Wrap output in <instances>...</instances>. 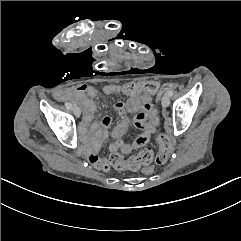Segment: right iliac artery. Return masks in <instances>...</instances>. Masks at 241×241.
<instances>
[{
    "instance_id": "obj_1",
    "label": "right iliac artery",
    "mask_w": 241,
    "mask_h": 241,
    "mask_svg": "<svg viewBox=\"0 0 241 241\" xmlns=\"http://www.w3.org/2000/svg\"><path fill=\"white\" fill-rule=\"evenodd\" d=\"M65 105H66V107L69 108V109L72 108V104L69 103V102L65 103Z\"/></svg>"
}]
</instances>
